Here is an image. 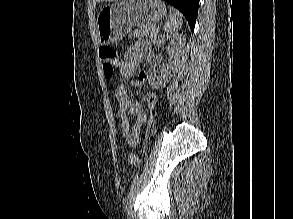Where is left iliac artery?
I'll return each mask as SVG.
<instances>
[{
	"label": "left iliac artery",
	"instance_id": "left-iliac-artery-1",
	"mask_svg": "<svg viewBox=\"0 0 293 219\" xmlns=\"http://www.w3.org/2000/svg\"><path fill=\"white\" fill-rule=\"evenodd\" d=\"M138 174L139 173L136 174V176H135V178H134V180H133V182H132V184L130 186V190H129V193H128V197L131 196V195H133V193H134V191L136 189L137 182H138Z\"/></svg>",
	"mask_w": 293,
	"mask_h": 219
}]
</instances>
